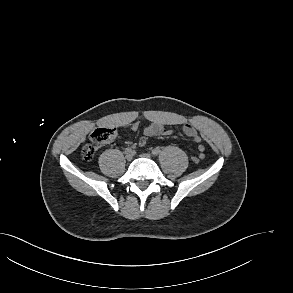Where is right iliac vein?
<instances>
[{"instance_id": "right-iliac-vein-1", "label": "right iliac vein", "mask_w": 293, "mask_h": 293, "mask_svg": "<svg viewBox=\"0 0 293 293\" xmlns=\"http://www.w3.org/2000/svg\"><path fill=\"white\" fill-rule=\"evenodd\" d=\"M133 159V153H128L127 155H126V160L127 161H131Z\"/></svg>"}]
</instances>
